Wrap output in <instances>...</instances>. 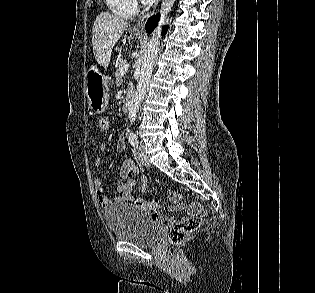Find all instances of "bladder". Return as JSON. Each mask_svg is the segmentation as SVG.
Returning <instances> with one entry per match:
<instances>
[{
  "label": "bladder",
  "mask_w": 315,
  "mask_h": 293,
  "mask_svg": "<svg viewBox=\"0 0 315 293\" xmlns=\"http://www.w3.org/2000/svg\"><path fill=\"white\" fill-rule=\"evenodd\" d=\"M104 217L115 239L139 246L155 244L161 234L146 211L136 205L119 203L109 206Z\"/></svg>",
  "instance_id": "1"
}]
</instances>
